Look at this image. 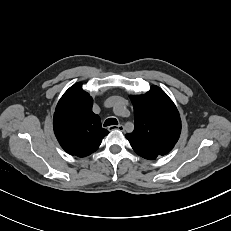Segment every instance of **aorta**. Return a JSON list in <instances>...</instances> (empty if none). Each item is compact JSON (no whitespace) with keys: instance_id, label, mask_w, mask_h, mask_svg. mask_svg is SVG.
I'll use <instances>...</instances> for the list:
<instances>
[{"instance_id":"762f6f07","label":"aorta","mask_w":231,"mask_h":231,"mask_svg":"<svg viewBox=\"0 0 231 231\" xmlns=\"http://www.w3.org/2000/svg\"><path fill=\"white\" fill-rule=\"evenodd\" d=\"M116 112L119 114V115H121L123 112H124V110H125V108L123 107V106H117L116 108Z\"/></svg>"}]
</instances>
